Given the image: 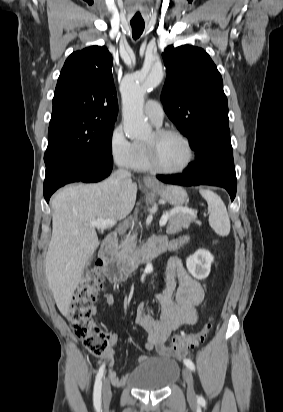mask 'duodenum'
<instances>
[{
    "mask_svg": "<svg viewBox=\"0 0 283 412\" xmlns=\"http://www.w3.org/2000/svg\"><path fill=\"white\" fill-rule=\"evenodd\" d=\"M116 242L117 232L109 233L105 237L98 254V262L101 265L103 274L115 283L127 281L145 260L172 249V246L161 238H157L145 243L131 259L119 262L116 258Z\"/></svg>",
    "mask_w": 283,
    "mask_h": 412,
    "instance_id": "obj_1",
    "label": "duodenum"
}]
</instances>
